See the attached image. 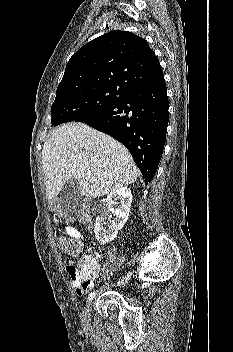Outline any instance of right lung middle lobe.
I'll use <instances>...</instances> for the list:
<instances>
[{
	"label": "right lung middle lobe",
	"mask_w": 233,
	"mask_h": 352,
	"mask_svg": "<svg viewBox=\"0 0 233 352\" xmlns=\"http://www.w3.org/2000/svg\"><path fill=\"white\" fill-rule=\"evenodd\" d=\"M130 90L118 85H101L75 89L56 95L51 107L52 125L80 121L124 98Z\"/></svg>",
	"instance_id": "right-lung-middle-lobe-1"
}]
</instances>
